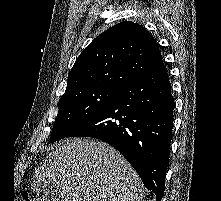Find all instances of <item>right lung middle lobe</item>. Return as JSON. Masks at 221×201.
I'll list each match as a JSON object with an SVG mask.
<instances>
[{"label": "right lung middle lobe", "mask_w": 221, "mask_h": 201, "mask_svg": "<svg viewBox=\"0 0 221 201\" xmlns=\"http://www.w3.org/2000/svg\"><path fill=\"white\" fill-rule=\"evenodd\" d=\"M118 92L116 89L92 87L64 94L59 100L50 142L68 135L103 109Z\"/></svg>", "instance_id": "dd1d6c3e"}]
</instances>
